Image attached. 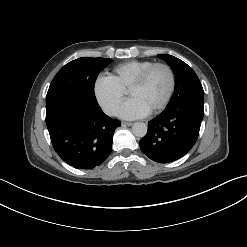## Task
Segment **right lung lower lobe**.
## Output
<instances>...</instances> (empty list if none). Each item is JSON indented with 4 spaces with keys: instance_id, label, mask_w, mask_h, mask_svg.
Here are the masks:
<instances>
[{
    "instance_id": "obj_1",
    "label": "right lung lower lobe",
    "mask_w": 247,
    "mask_h": 247,
    "mask_svg": "<svg viewBox=\"0 0 247 247\" xmlns=\"http://www.w3.org/2000/svg\"><path fill=\"white\" fill-rule=\"evenodd\" d=\"M46 124L54 150L78 169H92L108 158L114 130L121 125L97 102L75 96L47 103Z\"/></svg>"
}]
</instances>
